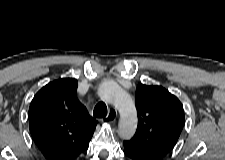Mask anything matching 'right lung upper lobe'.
<instances>
[{"mask_svg":"<svg viewBox=\"0 0 225 160\" xmlns=\"http://www.w3.org/2000/svg\"><path fill=\"white\" fill-rule=\"evenodd\" d=\"M31 136L45 158L77 160L88 149L97 120L77 99V80L48 83L34 96L29 108Z\"/></svg>","mask_w":225,"mask_h":160,"instance_id":"1","label":"right lung upper lobe"}]
</instances>
